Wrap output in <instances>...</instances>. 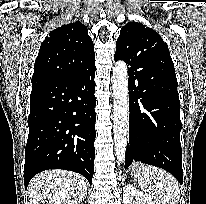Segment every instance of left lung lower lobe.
<instances>
[{
	"label": "left lung lower lobe",
	"instance_id": "obj_1",
	"mask_svg": "<svg viewBox=\"0 0 206 204\" xmlns=\"http://www.w3.org/2000/svg\"><path fill=\"white\" fill-rule=\"evenodd\" d=\"M148 71V67L140 66L128 69L130 114L125 169L140 161L167 170L183 184L177 81L168 72L153 79Z\"/></svg>",
	"mask_w": 206,
	"mask_h": 204
}]
</instances>
